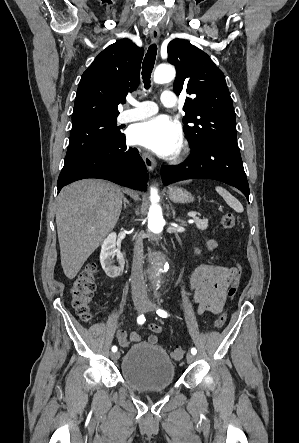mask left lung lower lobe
<instances>
[{"mask_svg":"<svg viewBox=\"0 0 299 443\" xmlns=\"http://www.w3.org/2000/svg\"><path fill=\"white\" fill-rule=\"evenodd\" d=\"M163 184L194 178H209L238 188L249 200V185L238 147L217 141L191 148L179 165L161 168Z\"/></svg>","mask_w":299,"mask_h":443,"instance_id":"1","label":"left lung lower lobe"}]
</instances>
